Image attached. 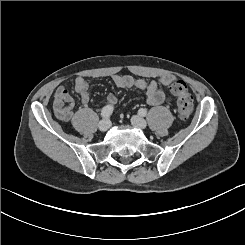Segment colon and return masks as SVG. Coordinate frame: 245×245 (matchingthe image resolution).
Instances as JSON below:
<instances>
[{
  "mask_svg": "<svg viewBox=\"0 0 245 245\" xmlns=\"http://www.w3.org/2000/svg\"><path fill=\"white\" fill-rule=\"evenodd\" d=\"M171 92L177 99L179 116L187 120L193 111V99L184 81L176 80L171 85Z\"/></svg>",
  "mask_w": 245,
  "mask_h": 245,
  "instance_id": "1",
  "label": "colon"
}]
</instances>
